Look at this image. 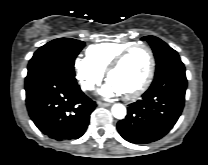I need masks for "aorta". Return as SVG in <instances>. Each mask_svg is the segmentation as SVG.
I'll return each mask as SVG.
<instances>
[{
    "instance_id": "1",
    "label": "aorta",
    "mask_w": 208,
    "mask_h": 165,
    "mask_svg": "<svg viewBox=\"0 0 208 165\" xmlns=\"http://www.w3.org/2000/svg\"><path fill=\"white\" fill-rule=\"evenodd\" d=\"M112 114L117 119H123L126 116V108L123 104L117 103L112 106Z\"/></svg>"
}]
</instances>
